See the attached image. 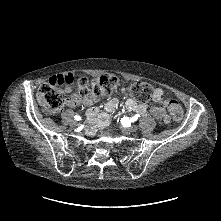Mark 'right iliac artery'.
<instances>
[{"mask_svg":"<svg viewBox=\"0 0 221 221\" xmlns=\"http://www.w3.org/2000/svg\"><path fill=\"white\" fill-rule=\"evenodd\" d=\"M74 119L77 120V121H80V120H81V117L78 116V115H76V116H74Z\"/></svg>","mask_w":221,"mask_h":221,"instance_id":"right-iliac-artery-1","label":"right iliac artery"}]
</instances>
